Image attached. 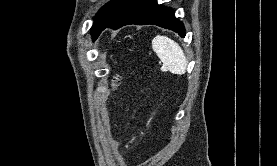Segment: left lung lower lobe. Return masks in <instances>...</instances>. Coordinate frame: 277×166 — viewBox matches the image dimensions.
<instances>
[{
  "mask_svg": "<svg viewBox=\"0 0 277 166\" xmlns=\"http://www.w3.org/2000/svg\"><path fill=\"white\" fill-rule=\"evenodd\" d=\"M128 24H153L173 30L182 38L185 36L182 22L175 18L170 8L158 5L156 0H135L111 19L104 29L106 27L118 29Z\"/></svg>",
  "mask_w": 277,
  "mask_h": 166,
  "instance_id": "1",
  "label": "left lung lower lobe"
}]
</instances>
